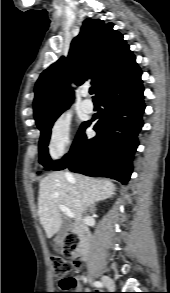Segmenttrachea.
I'll list each match as a JSON object with an SVG mask.
<instances>
[{"mask_svg":"<svg viewBox=\"0 0 170 293\" xmlns=\"http://www.w3.org/2000/svg\"><path fill=\"white\" fill-rule=\"evenodd\" d=\"M89 93L90 94H93L94 93V89L92 87L90 88Z\"/></svg>","mask_w":170,"mask_h":293,"instance_id":"3493384b","label":"trachea"}]
</instances>
